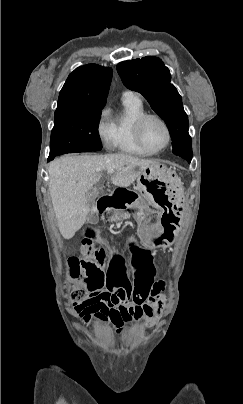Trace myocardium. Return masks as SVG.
I'll list each match as a JSON object with an SVG mask.
<instances>
[{
    "instance_id": "obj_1",
    "label": "myocardium",
    "mask_w": 243,
    "mask_h": 404,
    "mask_svg": "<svg viewBox=\"0 0 243 404\" xmlns=\"http://www.w3.org/2000/svg\"><path fill=\"white\" fill-rule=\"evenodd\" d=\"M150 118H157L159 121H161L163 123V125L165 126L166 130H167V134H168V140L167 143L164 147L160 148V149H154L152 147H150L144 140L143 136H142V127L144 125V123L150 119ZM133 131H134V135L136 137V140L138 141V143L145 148L146 150H148L149 152L152 153H160L165 151L166 149H168L172 143L173 140V132L171 129L170 124L168 123V121L160 114L158 113H154V112H145L143 113L135 122L133 125Z\"/></svg>"
}]
</instances>
